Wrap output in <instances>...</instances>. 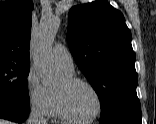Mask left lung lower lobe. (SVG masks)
<instances>
[{
    "label": "left lung lower lobe",
    "instance_id": "left-lung-lower-lobe-1",
    "mask_svg": "<svg viewBox=\"0 0 156 124\" xmlns=\"http://www.w3.org/2000/svg\"><path fill=\"white\" fill-rule=\"evenodd\" d=\"M101 124H142L141 121H132V120H124V119H117L112 121H104Z\"/></svg>",
    "mask_w": 156,
    "mask_h": 124
}]
</instances>
